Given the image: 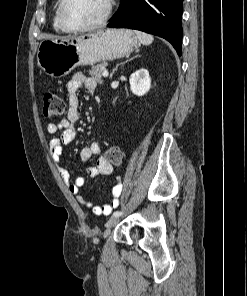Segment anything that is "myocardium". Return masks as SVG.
Masks as SVG:
<instances>
[{"label": "myocardium", "instance_id": "f54148a6", "mask_svg": "<svg viewBox=\"0 0 247 296\" xmlns=\"http://www.w3.org/2000/svg\"><path fill=\"white\" fill-rule=\"evenodd\" d=\"M68 0H60L59 8H58V20L61 28L65 32L69 33H82L87 31H93L99 29L107 24L110 20L112 11H113V0H105L106 9L102 18L93 23L91 25L83 26V27H73L70 26L65 18V8L67 5Z\"/></svg>", "mask_w": 247, "mask_h": 296}]
</instances>
